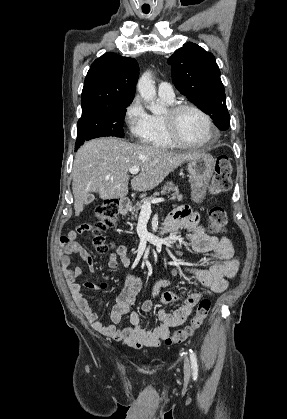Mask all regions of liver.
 Instances as JSON below:
<instances>
[{
    "instance_id": "liver-1",
    "label": "liver",
    "mask_w": 287,
    "mask_h": 419,
    "mask_svg": "<svg viewBox=\"0 0 287 419\" xmlns=\"http://www.w3.org/2000/svg\"><path fill=\"white\" fill-rule=\"evenodd\" d=\"M201 152L177 153L165 148L140 145L113 137L86 142L75 155L72 190L75 215L83 211L90 192L101 199H119L128 194L129 169L138 167L139 175L131 179L135 191H149L171 172Z\"/></svg>"
}]
</instances>
